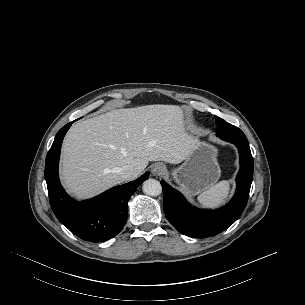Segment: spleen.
I'll return each mask as SVG.
<instances>
[{"instance_id":"spleen-1","label":"spleen","mask_w":305,"mask_h":305,"mask_svg":"<svg viewBox=\"0 0 305 305\" xmlns=\"http://www.w3.org/2000/svg\"><path fill=\"white\" fill-rule=\"evenodd\" d=\"M229 192V182L223 180L203 191L197 197V200L203 207L216 208L225 202L229 196Z\"/></svg>"}]
</instances>
